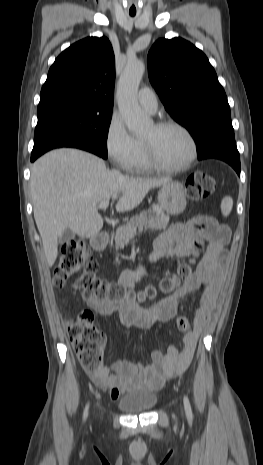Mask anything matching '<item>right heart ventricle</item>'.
<instances>
[{
  "mask_svg": "<svg viewBox=\"0 0 263 465\" xmlns=\"http://www.w3.org/2000/svg\"><path fill=\"white\" fill-rule=\"evenodd\" d=\"M137 145V154L129 169L136 172H146L152 170L153 168L146 159L145 152L140 140H137Z\"/></svg>",
  "mask_w": 263,
  "mask_h": 465,
  "instance_id": "1",
  "label": "right heart ventricle"
}]
</instances>
